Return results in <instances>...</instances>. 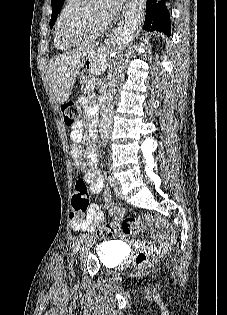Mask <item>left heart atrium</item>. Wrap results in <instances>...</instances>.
Wrapping results in <instances>:
<instances>
[{
	"label": "left heart atrium",
	"mask_w": 227,
	"mask_h": 315,
	"mask_svg": "<svg viewBox=\"0 0 227 315\" xmlns=\"http://www.w3.org/2000/svg\"><path fill=\"white\" fill-rule=\"evenodd\" d=\"M126 0H99V8L105 24L110 23L123 9Z\"/></svg>",
	"instance_id": "39dd6f15"
}]
</instances>
